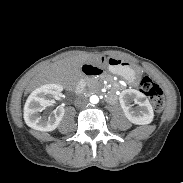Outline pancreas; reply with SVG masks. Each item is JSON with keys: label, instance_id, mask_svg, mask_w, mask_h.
<instances>
[{"label": "pancreas", "instance_id": "obj_1", "mask_svg": "<svg viewBox=\"0 0 183 183\" xmlns=\"http://www.w3.org/2000/svg\"><path fill=\"white\" fill-rule=\"evenodd\" d=\"M97 84V80H90L89 85L90 86H95Z\"/></svg>", "mask_w": 183, "mask_h": 183}]
</instances>
